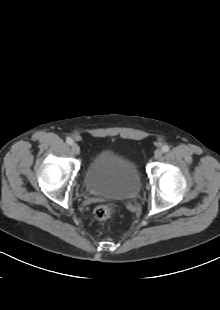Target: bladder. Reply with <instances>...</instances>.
Listing matches in <instances>:
<instances>
[{
  "label": "bladder",
  "mask_w": 220,
  "mask_h": 310,
  "mask_svg": "<svg viewBox=\"0 0 220 310\" xmlns=\"http://www.w3.org/2000/svg\"><path fill=\"white\" fill-rule=\"evenodd\" d=\"M85 190L95 196L129 200L141 190L139 169L130 159L110 150H102L83 173Z\"/></svg>",
  "instance_id": "obj_1"
}]
</instances>
